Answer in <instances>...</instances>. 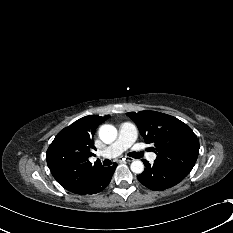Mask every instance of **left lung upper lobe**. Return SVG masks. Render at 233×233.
Here are the masks:
<instances>
[{
  "mask_svg": "<svg viewBox=\"0 0 233 233\" xmlns=\"http://www.w3.org/2000/svg\"><path fill=\"white\" fill-rule=\"evenodd\" d=\"M144 141L154 144L156 161L188 175L199 154V141L192 129L171 115L156 111L129 112Z\"/></svg>",
  "mask_w": 233,
  "mask_h": 233,
  "instance_id": "1",
  "label": "left lung upper lobe"
}]
</instances>
